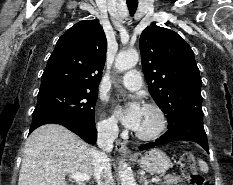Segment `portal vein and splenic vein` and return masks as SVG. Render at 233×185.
Segmentation results:
<instances>
[{"mask_svg": "<svg viewBox=\"0 0 233 185\" xmlns=\"http://www.w3.org/2000/svg\"><path fill=\"white\" fill-rule=\"evenodd\" d=\"M69 177L75 181H89L90 180V176L87 174H80V173H74V174H70ZM161 179L160 178H152L151 182L154 183H158L160 182Z\"/></svg>", "mask_w": 233, "mask_h": 185, "instance_id": "18ae733b", "label": "portal vein and splenic vein"}]
</instances>
